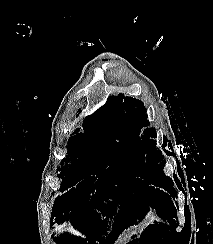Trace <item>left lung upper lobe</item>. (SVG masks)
I'll use <instances>...</instances> for the list:
<instances>
[{
	"label": "left lung upper lobe",
	"instance_id": "5c2ea615",
	"mask_svg": "<svg viewBox=\"0 0 213 244\" xmlns=\"http://www.w3.org/2000/svg\"><path fill=\"white\" fill-rule=\"evenodd\" d=\"M107 108L114 126L119 127L128 140L129 149L135 156L134 163L140 169L153 174L155 179L161 184H166L165 186L174 192L172 180L166 177L162 170L165 164L164 156L156 147L155 140L148 139L156 137L155 129L141 131L144 126L150 124L147 121L143 102L136 98L118 95L108 98Z\"/></svg>",
	"mask_w": 213,
	"mask_h": 244
}]
</instances>
